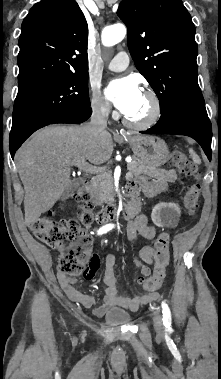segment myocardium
<instances>
[{
  "instance_id": "obj_1",
  "label": "myocardium",
  "mask_w": 221,
  "mask_h": 379,
  "mask_svg": "<svg viewBox=\"0 0 221 379\" xmlns=\"http://www.w3.org/2000/svg\"><path fill=\"white\" fill-rule=\"evenodd\" d=\"M151 103L150 114L143 120H131L127 116H124V123L136 129H147L155 125L161 117L162 106L158 95L152 90H145L143 93Z\"/></svg>"
}]
</instances>
